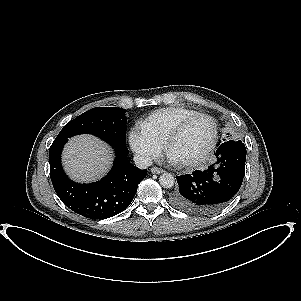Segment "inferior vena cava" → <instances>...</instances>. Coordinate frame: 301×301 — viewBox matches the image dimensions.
<instances>
[{
  "instance_id": "inferior-vena-cava-1",
  "label": "inferior vena cava",
  "mask_w": 301,
  "mask_h": 301,
  "mask_svg": "<svg viewBox=\"0 0 301 301\" xmlns=\"http://www.w3.org/2000/svg\"><path fill=\"white\" fill-rule=\"evenodd\" d=\"M133 161L136 167L140 169H147L152 165V159L146 155L136 154L133 157Z\"/></svg>"
}]
</instances>
